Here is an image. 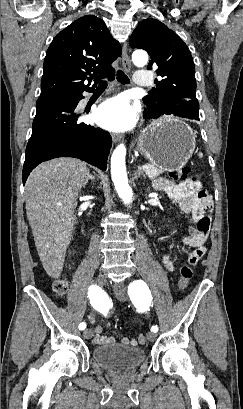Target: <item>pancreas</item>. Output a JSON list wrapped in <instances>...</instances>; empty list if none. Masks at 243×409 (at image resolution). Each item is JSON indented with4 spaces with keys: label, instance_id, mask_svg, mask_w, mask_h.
<instances>
[{
    "label": "pancreas",
    "instance_id": "1",
    "mask_svg": "<svg viewBox=\"0 0 243 409\" xmlns=\"http://www.w3.org/2000/svg\"><path fill=\"white\" fill-rule=\"evenodd\" d=\"M148 166H149V169L144 170V171L150 179H154L164 172L163 169L158 168L154 165H148Z\"/></svg>",
    "mask_w": 243,
    "mask_h": 409
}]
</instances>
